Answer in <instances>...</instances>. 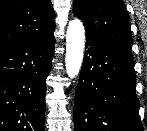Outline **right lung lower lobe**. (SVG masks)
Here are the masks:
<instances>
[{
  "mask_svg": "<svg viewBox=\"0 0 147 131\" xmlns=\"http://www.w3.org/2000/svg\"><path fill=\"white\" fill-rule=\"evenodd\" d=\"M54 44L52 32L0 52V131H44Z\"/></svg>",
  "mask_w": 147,
  "mask_h": 131,
  "instance_id": "1",
  "label": "right lung lower lobe"
}]
</instances>
